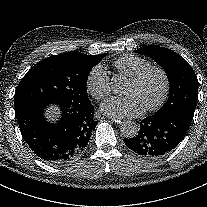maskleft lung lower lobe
<instances>
[{"label": "left lung lower lobe", "mask_w": 207, "mask_h": 207, "mask_svg": "<svg viewBox=\"0 0 207 207\" xmlns=\"http://www.w3.org/2000/svg\"><path fill=\"white\" fill-rule=\"evenodd\" d=\"M192 119L180 112L154 114L140 123L137 136L124 139L126 146L146 158H156L173 150L184 138Z\"/></svg>", "instance_id": "obj_1"}]
</instances>
